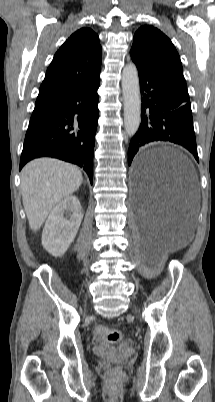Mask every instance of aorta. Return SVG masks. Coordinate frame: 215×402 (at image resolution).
Here are the masks:
<instances>
[{"mask_svg": "<svg viewBox=\"0 0 215 402\" xmlns=\"http://www.w3.org/2000/svg\"><path fill=\"white\" fill-rule=\"evenodd\" d=\"M124 98V125L128 136L138 131L141 123V97L138 72L135 64L126 65L122 72Z\"/></svg>", "mask_w": 215, "mask_h": 402, "instance_id": "aorta-1", "label": "aorta"}]
</instances>
